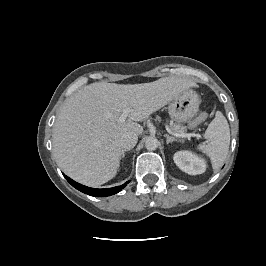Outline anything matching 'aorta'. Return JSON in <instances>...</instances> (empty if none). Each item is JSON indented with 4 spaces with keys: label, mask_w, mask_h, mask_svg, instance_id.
<instances>
[{
    "label": "aorta",
    "mask_w": 266,
    "mask_h": 266,
    "mask_svg": "<svg viewBox=\"0 0 266 266\" xmlns=\"http://www.w3.org/2000/svg\"><path fill=\"white\" fill-rule=\"evenodd\" d=\"M158 140L155 137H149L145 141V147L149 151L156 150L158 148Z\"/></svg>",
    "instance_id": "1"
}]
</instances>
